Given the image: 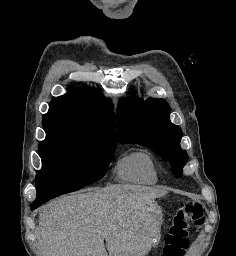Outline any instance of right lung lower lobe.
Segmentation results:
<instances>
[{
    "label": "right lung lower lobe",
    "instance_id": "obj_1",
    "mask_svg": "<svg viewBox=\"0 0 236 256\" xmlns=\"http://www.w3.org/2000/svg\"><path fill=\"white\" fill-rule=\"evenodd\" d=\"M46 201H39V202H33L31 204V210L36 209L38 206L42 205L43 203H45Z\"/></svg>",
    "mask_w": 236,
    "mask_h": 256
}]
</instances>
